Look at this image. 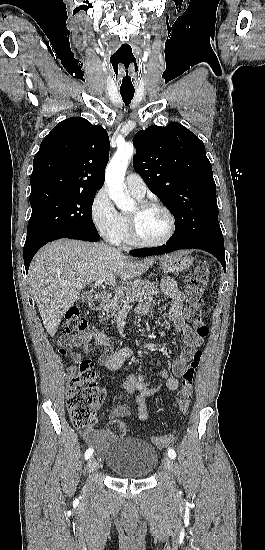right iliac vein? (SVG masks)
Masks as SVG:
<instances>
[{
	"mask_svg": "<svg viewBox=\"0 0 265 550\" xmlns=\"http://www.w3.org/2000/svg\"><path fill=\"white\" fill-rule=\"evenodd\" d=\"M97 468V461L94 457H91L88 461V472L91 473Z\"/></svg>",
	"mask_w": 265,
	"mask_h": 550,
	"instance_id": "right-iliac-vein-1",
	"label": "right iliac vein"
}]
</instances>
